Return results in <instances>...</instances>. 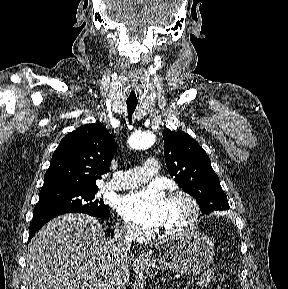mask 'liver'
<instances>
[{"instance_id":"obj_1","label":"liver","mask_w":288,"mask_h":289,"mask_svg":"<svg viewBox=\"0 0 288 289\" xmlns=\"http://www.w3.org/2000/svg\"><path fill=\"white\" fill-rule=\"evenodd\" d=\"M110 240L99 221L85 214H64L32 238L26 255L29 289H95L110 268ZM131 259L121 268L117 289H126Z\"/></svg>"}]
</instances>
